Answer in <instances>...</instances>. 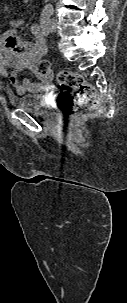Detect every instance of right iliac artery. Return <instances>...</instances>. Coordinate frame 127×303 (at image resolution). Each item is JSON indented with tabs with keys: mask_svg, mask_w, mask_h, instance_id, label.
<instances>
[{
	"mask_svg": "<svg viewBox=\"0 0 127 303\" xmlns=\"http://www.w3.org/2000/svg\"><path fill=\"white\" fill-rule=\"evenodd\" d=\"M40 24H41V28L43 30L44 35L47 36L50 33V16L41 15Z\"/></svg>",
	"mask_w": 127,
	"mask_h": 303,
	"instance_id": "82829eb1",
	"label": "right iliac artery"
}]
</instances>
